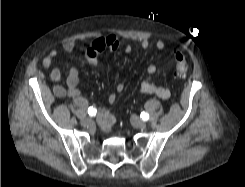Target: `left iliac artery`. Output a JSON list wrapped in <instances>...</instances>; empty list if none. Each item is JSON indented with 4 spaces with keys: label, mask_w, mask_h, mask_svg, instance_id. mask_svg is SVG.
<instances>
[{
    "label": "left iliac artery",
    "mask_w": 245,
    "mask_h": 187,
    "mask_svg": "<svg viewBox=\"0 0 245 187\" xmlns=\"http://www.w3.org/2000/svg\"><path fill=\"white\" fill-rule=\"evenodd\" d=\"M141 118L144 120V121H147L149 119V114L146 113V112H142L141 113Z\"/></svg>",
    "instance_id": "1"
}]
</instances>
